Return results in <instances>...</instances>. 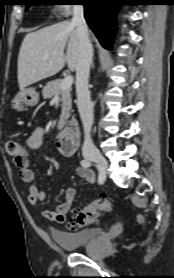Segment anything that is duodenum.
Instances as JSON below:
<instances>
[{
  "instance_id": "duodenum-1",
  "label": "duodenum",
  "mask_w": 174,
  "mask_h": 278,
  "mask_svg": "<svg viewBox=\"0 0 174 278\" xmlns=\"http://www.w3.org/2000/svg\"><path fill=\"white\" fill-rule=\"evenodd\" d=\"M77 137L78 123L73 119L56 136V146L63 155L70 156L75 152Z\"/></svg>"
}]
</instances>
